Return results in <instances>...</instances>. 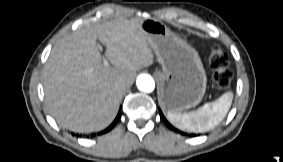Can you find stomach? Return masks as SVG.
Segmentation results:
<instances>
[{"label":"stomach","mask_w":283,"mask_h":162,"mask_svg":"<svg viewBox=\"0 0 283 162\" xmlns=\"http://www.w3.org/2000/svg\"><path fill=\"white\" fill-rule=\"evenodd\" d=\"M139 29L162 66L156 77L164 110L182 111L199 104L206 89V75L197 51L157 19H140Z\"/></svg>","instance_id":"stomach-1"}]
</instances>
